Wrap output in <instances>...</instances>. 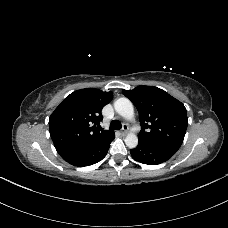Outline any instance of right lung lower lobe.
<instances>
[{"instance_id": "98d812e1", "label": "right lung lower lobe", "mask_w": 228, "mask_h": 228, "mask_svg": "<svg viewBox=\"0 0 228 228\" xmlns=\"http://www.w3.org/2000/svg\"><path fill=\"white\" fill-rule=\"evenodd\" d=\"M114 138L115 135L113 134L93 146L66 152L61 154V157L73 166L83 167L95 164L105 157Z\"/></svg>"}]
</instances>
